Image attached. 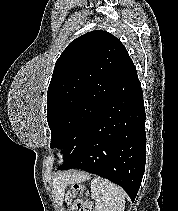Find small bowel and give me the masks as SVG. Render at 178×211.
<instances>
[{"instance_id": "c3829d8e", "label": "small bowel", "mask_w": 178, "mask_h": 211, "mask_svg": "<svg viewBox=\"0 0 178 211\" xmlns=\"http://www.w3.org/2000/svg\"><path fill=\"white\" fill-rule=\"evenodd\" d=\"M80 211H93V208L89 204L85 203Z\"/></svg>"}]
</instances>
